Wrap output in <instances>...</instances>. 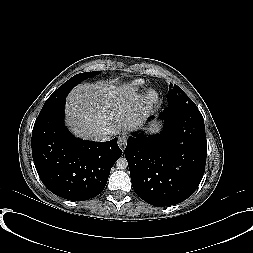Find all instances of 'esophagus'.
<instances>
[{
    "label": "esophagus",
    "instance_id": "1",
    "mask_svg": "<svg viewBox=\"0 0 253 253\" xmlns=\"http://www.w3.org/2000/svg\"><path fill=\"white\" fill-rule=\"evenodd\" d=\"M126 144H127V137H126V135H121L118 138V145H119V147L123 150L125 148Z\"/></svg>",
    "mask_w": 253,
    "mask_h": 253
}]
</instances>
